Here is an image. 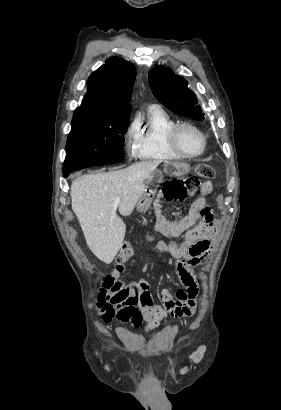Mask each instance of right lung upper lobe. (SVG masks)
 Listing matches in <instances>:
<instances>
[{
  "instance_id": "1",
  "label": "right lung upper lobe",
  "mask_w": 281,
  "mask_h": 410,
  "mask_svg": "<svg viewBox=\"0 0 281 410\" xmlns=\"http://www.w3.org/2000/svg\"><path fill=\"white\" fill-rule=\"evenodd\" d=\"M136 69L130 62L118 57L106 60L87 80V93L77 109H93L103 113L130 115L129 103Z\"/></svg>"
}]
</instances>
